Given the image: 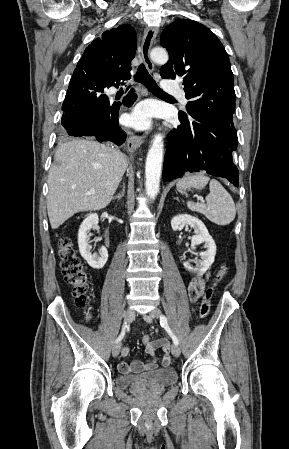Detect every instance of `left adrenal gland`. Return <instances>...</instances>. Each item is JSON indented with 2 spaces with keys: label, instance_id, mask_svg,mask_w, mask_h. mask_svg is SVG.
<instances>
[{
  "label": "left adrenal gland",
  "instance_id": "a2214340",
  "mask_svg": "<svg viewBox=\"0 0 289 449\" xmlns=\"http://www.w3.org/2000/svg\"><path fill=\"white\" fill-rule=\"evenodd\" d=\"M175 200H177V201H179V199L176 197V198H174Z\"/></svg>",
  "mask_w": 289,
  "mask_h": 449
}]
</instances>
